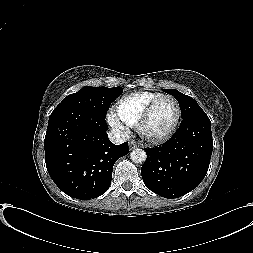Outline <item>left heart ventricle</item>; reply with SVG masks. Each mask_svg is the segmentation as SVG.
Returning a JSON list of instances; mask_svg holds the SVG:
<instances>
[{
    "label": "left heart ventricle",
    "mask_w": 253,
    "mask_h": 253,
    "mask_svg": "<svg viewBox=\"0 0 253 253\" xmlns=\"http://www.w3.org/2000/svg\"><path fill=\"white\" fill-rule=\"evenodd\" d=\"M176 117V106L170 99L162 100L154 110L147 124L146 132L157 136L167 132L174 123Z\"/></svg>",
    "instance_id": "obj_1"
}]
</instances>
